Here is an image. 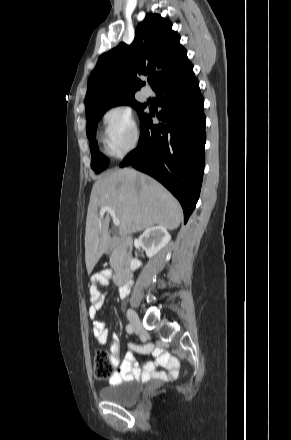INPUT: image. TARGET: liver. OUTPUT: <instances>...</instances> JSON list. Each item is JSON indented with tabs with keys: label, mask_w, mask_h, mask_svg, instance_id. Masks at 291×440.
I'll list each match as a JSON object with an SVG mask.
<instances>
[{
	"label": "liver",
	"mask_w": 291,
	"mask_h": 440,
	"mask_svg": "<svg viewBox=\"0 0 291 440\" xmlns=\"http://www.w3.org/2000/svg\"><path fill=\"white\" fill-rule=\"evenodd\" d=\"M109 206L120 220L119 234L127 236L152 227L176 229L183 218L177 199L159 182L134 169H120L98 179L91 191L86 218L85 261L87 272L108 246V215L99 216L98 208Z\"/></svg>",
	"instance_id": "obj_1"
}]
</instances>
